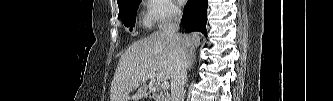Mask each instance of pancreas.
<instances>
[{
	"mask_svg": "<svg viewBox=\"0 0 333 101\" xmlns=\"http://www.w3.org/2000/svg\"><path fill=\"white\" fill-rule=\"evenodd\" d=\"M161 101H169L168 95H161Z\"/></svg>",
	"mask_w": 333,
	"mask_h": 101,
	"instance_id": "pancreas-1",
	"label": "pancreas"
}]
</instances>
